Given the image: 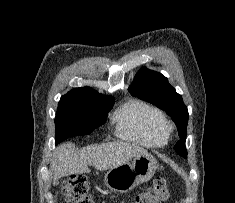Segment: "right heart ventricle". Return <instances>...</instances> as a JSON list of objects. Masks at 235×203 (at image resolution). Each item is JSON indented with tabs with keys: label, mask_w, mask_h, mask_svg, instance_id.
<instances>
[{
	"label": "right heart ventricle",
	"mask_w": 235,
	"mask_h": 203,
	"mask_svg": "<svg viewBox=\"0 0 235 203\" xmlns=\"http://www.w3.org/2000/svg\"><path fill=\"white\" fill-rule=\"evenodd\" d=\"M162 112L152 104L131 99L114 115L117 134L126 140L146 147H161L168 141V132L162 127Z\"/></svg>",
	"instance_id": "obj_1"
}]
</instances>
